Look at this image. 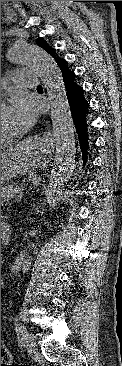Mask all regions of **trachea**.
Instances as JSON below:
<instances>
[{
  "mask_svg": "<svg viewBox=\"0 0 122 366\" xmlns=\"http://www.w3.org/2000/svg\"><path fill=\"white\" fill-rule=\"evenodd\" d=\"M38 88H42V86H38Z\"/></svg>",
  "mask_w": 122,
  "mask_h": 366,
  "instance_id": "3493384b",
  "label": "trachea"
}]
</instances>
